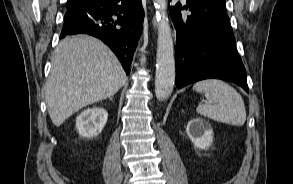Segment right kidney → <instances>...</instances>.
Returning <instances> with one entry per match:
<instances>
[{"mask_svg":"<svg viewBox=\"0 0 293 184\" xmlns=\"http://www.w3.org/2000/svg\"><path fill=\"white\" fill-rule=\"evenodd\" d=\"M107 119L108 113L103 108L86 109L76 118V130L82 137L93 138L102 132Z\"/></svg>","mask_w":293,"mask_h":184,"instance_id":"1","label":"right kidney"}]
</instances>
